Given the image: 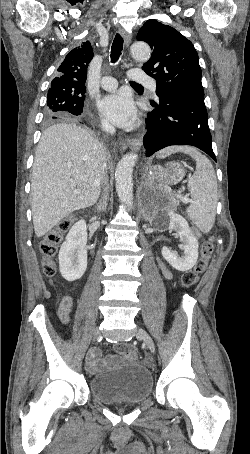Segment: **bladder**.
Here are the masks:
<instances>
[{
  "label": "bladder",
  "instance_id": "1",
  "mask_svg": "<svg viewBox=\"0 0 250 454\" xmlns=\"http://www.w3.org/2000/svg\"><path fill=\"white\" fill-rule=\"evenodd\" d=\"M88 387L90 393L104 404H138L151 395L153 379L146 367L123 360L118 367L93 375Z\"/></svg>",
  "mask_w": 250,
  "mask_h": 454
}]
</instances>
